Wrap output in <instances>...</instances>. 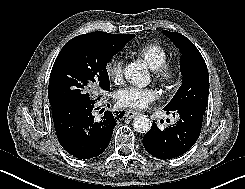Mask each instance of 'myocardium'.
Here are the masks:
<instances>
[{"label": "myocardium", "mask_w": 245, "mask_h": 189, "mask_svg": "<svg viewBox=\"0 0 245 189\" xmlns=\"http://www.w3.org/2000/svg\"><path fill=\"white\" fill-rule=\"evenodd\" d=\"M157 81L162 85L172 83L177 76V67L174 64L165 62L154 70Z\"/></svg>", "instance_id": "f54148a6"}]
</instances>
